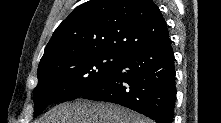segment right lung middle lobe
<instances>
[{
	"label": "right lung middle lobe",
	"mask_w": 221,
	"mask_h": 123,
	"mask_svg": "<svg viewBox=\"0 0 221 123\" xmlns=\"http://www.w3.org/2000/svg\"><path fill=\"white\" fill-rule=\"evenodd\" d=\"M126 58L125 53L92 50L63 56L38 67V85L34 90V116L51 103L81 97L104 82Z\"/></svg>",
	"instance_id": "1"
}]
</instances>
